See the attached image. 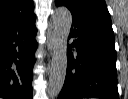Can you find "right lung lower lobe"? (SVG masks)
<instances>
[{
	"label": "right lung lower lobe",
	"mask_w": 128,
	"mask_h": 99,
	"mask_svg": "<svg viewBox=\"0 0 128 99\" xmlns=\"http://www.w3.org/2000/svg\"><path fill=\"white\" fill-rule=\"evenodd\" d=\"M35 14L0 32V97L32 99V69L37 49Z\"/></svg>",
	"instance_id": "98d812e1"
}]
</instances>
